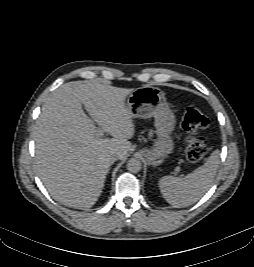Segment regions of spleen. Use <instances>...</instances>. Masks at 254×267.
<instances>
[{"mask_svg": "<svg viewBox=\"0 0 254 267\" xmlns=\"http://www.w3.org/2000/svg\"><path fill=\"white\" fill-rule=\"evenodd\" d=\"M219 164V151L215 150L206 162L185 177L164 176L159 180L165 200L175 208L197 202L212 186Z\"/></svg>", "mask_w": 254, "mask_h": 267, "instance_id": "1", "label": "spleen"}]
</instances>
